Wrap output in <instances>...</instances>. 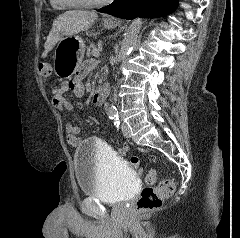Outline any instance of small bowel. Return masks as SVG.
Here are the masks:
<instances>
[{"label": "small bowel", "mask_w": 240, "mask_h": 238, "mask_svg": "<svg viewBox=\"0 0 240 238\" xmlns=\"http://www.w3.org/2000/svg\"><path fill=\"white\" fill-rule=\"evenodd\" d=\"M96 62L93 60H88L83 63L79 76L70 81H64L57 88L51 89V100L53 105L59 110L70 111L73 109L71 103L64 97V93L67 91H72L76 97H82L84 95V86L81 82V77L86 75L89 71L94 69ZM65 130L67 133V143L72 147H77L80 144V138L78 137L80 133V128L72 123H67L65 125ZM131 143H123V148L119 149V154H127V149L131 148ZM132 167H137L138 174H145L146 170L144 166H141L140 156L130 157Z\"/></svg>", "instance_id": "small-bowel-1"}]
</instances>
